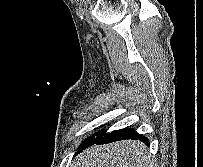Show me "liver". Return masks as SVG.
I'll return each mask as SVG.
<instances>
[{
  "mask_svg": "<svg viewBox=\"0 0 203 167\" xmlns=\"http://www.w3.org/2000/svg\"><path fill=\"white\" fill-rule=\"evenodd\" d=\"M147 146L136 140L119 141L87 148L72 167H149Z\"/></svg>",
  "mask_w": 203,
  "mask_h": 167,
  "instance_id": "obj_1",
  "label": "liver"
}]
</instances>
